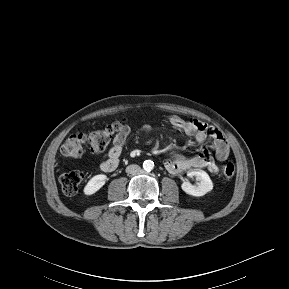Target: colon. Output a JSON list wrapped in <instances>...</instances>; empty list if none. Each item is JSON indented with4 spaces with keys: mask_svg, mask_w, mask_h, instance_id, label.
Returning a JSON list of instances; mask_svg holds the SVG:
<instances>
[{
    "mask_svg": "<svg viewBox=\"0 0 289 289\" xmlns=\"http://www.w3.org/2000/svg\"><path fill=\"white\" fill-rule=\"evenodd\" d=\"M124 125L123 121H117L107 125L103 129L91 133H78L66 139L61 147L64 156L78 158L83 154L101 153L105 151L114 134ZM235 173V164L229 161L223 169L224 180H230ZM84 175L80 171H70L60 176V184L66 195H75L83 181Z\"/></svg>",
    "mask_w": 289,
    "mask_h": 289,
    "instance_id": "1",
    "label": "colon"
}]
</instances>
